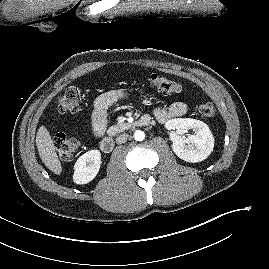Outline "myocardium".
<instances>
[{"label": "myocardium", "mask_w": 269, "mask_h": 269, "mask_svg": "<svg viewBox=\"0 0 269 269\" xmlns=\"http://www.w3.org/2000/svg\"><path fill=\"white\" fill-rule=\"evenodd\" d=\"M59 9V6H49L44 9V11H53Z\"/></svg>", "instance_id": "myocardium-1"}]
</instances>
